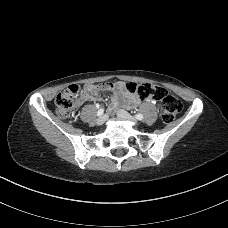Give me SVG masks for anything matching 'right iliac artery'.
<instances>
[{
  "label": "right iliac artery",
  "instance_id": "1",
  "mask_svg": "<svg viewBox=\"0 0 228 228\" xmlns=\"http://www.w3.org/2000/svg\"><path fill=\"white\" fill-rule=\"evenodd\" d=\"M103 113H104V109L100 108L97 112V116H101V115H103Z\"/></svg>",
  "mask_w": 228,
  "mask_h": 228
}]
</instances>
